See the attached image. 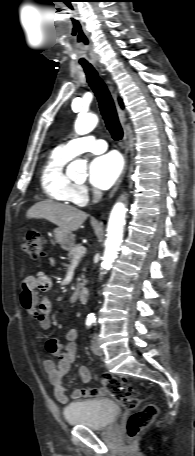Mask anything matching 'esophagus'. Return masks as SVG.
<instances>
[{
  "label": "esophagus",
  "instance_id": "esophagus-1",
  "mask_svg": "<svg viewBox=\"0 0 195 456\" xmlns=\"http://www.w3.org/2000/svg\"><path fill=\"white\" fill-rule=\"evenodd\" d=\"M114 100H115V103H116V107H117V111H118V116H119V120H120V123L123 127V131H124V134H123V147L125 149L124 151V158H125V166H124V169L120 175V177L118 178L116 184L114 185L113 189L111 190L110 194H109V199H111L113 197V195L116 193V191L118 190L124 176H125V173H126V170H127V163H128V133L126 131V128H125V114H124V111L121 109V107L119 106V103H118V99H117V93L115 92L114 93Z\"/></svg>",
  "mask_w": 195,
  "mask_h": 456
}]
</instances>
